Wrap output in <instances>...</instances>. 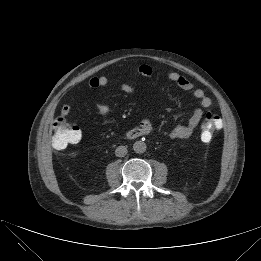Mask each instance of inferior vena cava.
I'll return each instance as SVG.
<instances>
[{"label":"inferior vena cava","mask_w":261,"mask_h":261,"mask_svg":"<svg viewBox=\"0 0 261 261\" xmlns=\"http://www.w3.org/2000/svg\"><path fill=\"white\" fill-rule=\"evenodd\" d=\"M128 150L125 146H118L115 150V155L118 157H124L127 154Z\"/></svg>","instance_id":"inferior-vena-cava-1"}]
</instances>
